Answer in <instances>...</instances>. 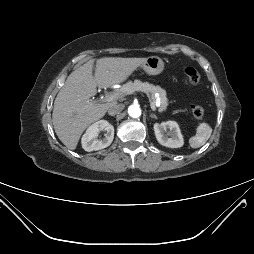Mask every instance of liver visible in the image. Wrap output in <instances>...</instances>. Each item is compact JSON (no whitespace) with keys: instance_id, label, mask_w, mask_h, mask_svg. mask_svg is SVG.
<instances>
[{"instance_id":"obj_1","label":"liver","mask_w":254,"mask_h":254,"mask_svg":"<svg viewBox=\"0 0 254 254\" xmlns=\"http://www.w3.org/2000/svg\"><path fill=\"white\" fill-rule=\"evenodd\" d=\"M146 58L105 57L94 59L73 71L66 79L54 101L52 120L60 141L74 150L84 130L101 119L108 108L115 104L95 103L90 97L97 93V87L109 88L124 82Z\"/></svg>"}]
</instances>
